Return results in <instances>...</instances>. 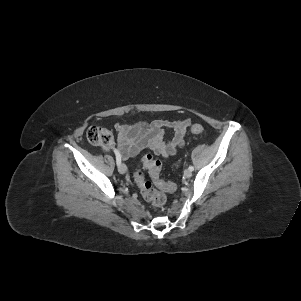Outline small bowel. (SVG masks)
I'll return each mask as SVG.
<instances>
[{
    "instance_id": "small-bowel-1",
    "label": "small bowel",
    "mask_w": 301,
    "mask_h": 301,
    "mask_svg": "<svg viewBox=\"0 0 301 301\" xmlns=\"http://www.w3.org/2000/svg\"><path fill=\"white\" fill-rule=\"evenodd\" d=\"M189 119L155 120L151 123H137L132 126L117 123L116 149L124 160L136 156L140 151L148 149L155 155L169 157L176 153L184 143ZM165 130H171V139L164 137Z\"/></svg>"
}]
</instances>
